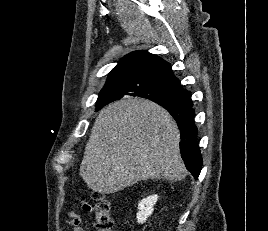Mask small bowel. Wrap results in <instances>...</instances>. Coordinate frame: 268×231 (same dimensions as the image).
Instances as JSON below:
<instances>
[{
    "label": "small bowel",
    "mask_w": 268,
    "mask_h": 231,
    "mask_svg": "<svg viewBox=\"0 0 268 231\" xmlns=\"http://www.w3.org/2000/svg\"><path fill=\"white\" fill-rule=\"evenodd\" d=\"M82 209L85 211H89L90 207L87 205H83ZM66 222L72 227L73 231H84V229L80 226V217L77 213L71 211L68 213Z\"/></svg>",
    "instance_id": "1"
}]
</instances>
